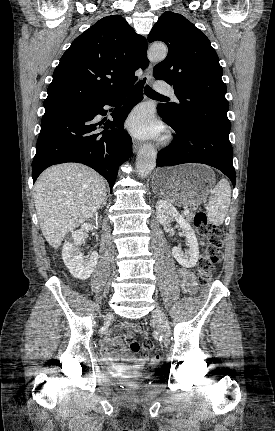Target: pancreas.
I'll use <instances>...</instances> for the list:
<instances>
[{"label":"pancreas","mask_w":275,"mask_h":431,"mask_svg":"<svg viewBox=\"0 0 275 431\" xmlns=\"http://www.w3.org/2000/svg\"><path fill=\"white\" fill-rule=\"evenodd\" d=\"M193 217H194V214H192V213L185 215L186 220L189 221V222L192 221Z\"/></svg>","instance_id":"obj_1"}]
</instances>
